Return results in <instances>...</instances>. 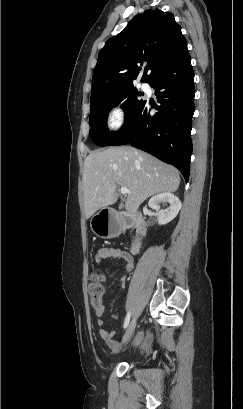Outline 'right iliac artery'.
<instances>
[{"instance_id":"82829eb1","label":"right iliac artery","mask_w":243,"mask_h":409,"mask_svg":"<svg viewBox=\"0 0 243 409\" xmlns=\"http://www.w3.org/2000/svg\"><path fill=\"white\" fill-rule=\"evenodd\" d=\"M130 316H131V314H130V311H129V312L127 313L126 318H125V321H124V329H126L127 326H128V324H129Z\"/></svg>"}]
</instances>
